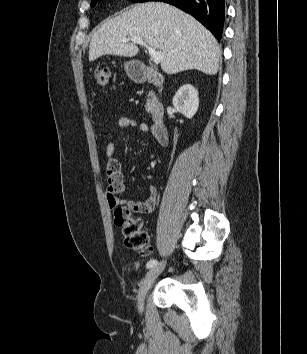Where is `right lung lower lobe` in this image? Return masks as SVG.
Wrapping results in <instances>:
<instances>
[{"instance_id":"98d812e1","label":"right lung lower lobe","mask_w":307,"mask_h":354,"mask_svg":"<svg viewBox=\"0 0 307 354\" xmlns=\"http://www.w3.org/2000/svg\"><path fill=\"white\" fill-rule=\"evenodd\" d=\"M158 1V0H156ZM191 14L220 40L225 18V0H159Z\"/></svg>"}]
</instances>
